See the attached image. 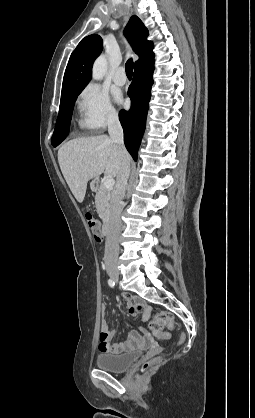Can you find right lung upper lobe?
<instances>
[{
	"label": "right lung upper lobe",
	"mask_w": 255,
	"mask_h": 418,
	"mask_svg": "<svg viewBox=\"0 0 255 418\" xmlns=\"http://www.w3.org/2000/svg\"><path fill=\"white\" fill-rule=\"evenodd\" d=\"M125 35L139 56L135 69L144 67L154 61L153 45L146 38L148 30L137 16H132L125 28ZM103 41L99 35L93 34L83 38L70 56L65 70L62 93L84 89L91 78L94 60L101 53ZM61 93V94H62Z\"/></svg>",
	"instance_id": "obj_1"
}]
</instances>
